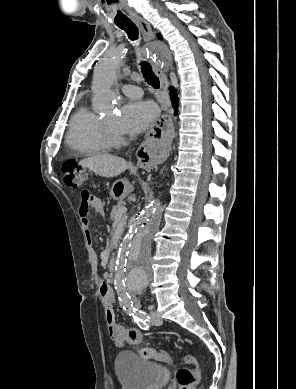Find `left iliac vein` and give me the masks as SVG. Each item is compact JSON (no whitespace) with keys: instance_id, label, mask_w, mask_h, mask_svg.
<instances>
[{"instance_id":"obj_1","label":"left iliac vein","mask_w":296,"mask_h":389,"mask_svg":"<svg viewBox=\"0 0 296 389\" xmlns=\"http://www.w3.org/2000/svg\"><path fill=\"white\" fill-rule=\"evenodd\" d=\"M150 317H151V323L153 325L159 326L163 322L161 316L156 311H151Z\"/></svg>"}]
</instances>
